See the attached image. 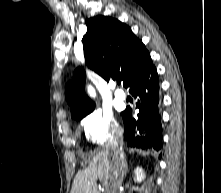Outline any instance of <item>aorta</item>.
<instances>
[{
    "label": "aorta",
    "mask_w": 221,
    "mask_h": 193,
    "mask_svg": "<svg viewBox=\"0 0 221 193\" xmlns=\"http://www.w3.org/2000/svg\"><path fill=\"white\" fill-rule=\"evenodd\" d=\"M88 92L91 96H95V90L91 86L88 87Z\"/></svg>",
    "instance_id": "1"
}]
</instances>
